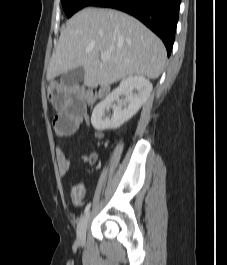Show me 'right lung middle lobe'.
Returning <instances> with one entry per match:
<instances>
[{
	"mask_svg": "<svg viewBox=\"0 0 227 265\" xmlns=\"http://www.w3.org/2000/svg\"><path fill=\"white\" fill-rule=\"evenodd\" d=\"M93 0H61L65 14L69 18L78 10L88 6Z\"/></svg>",
	"mask_w": 227,
	"mask_h": 265,
	"instance_id": "right-lung-middle-lobe-1",
	"label": "right lung middle lobe"
}]
</instances>
